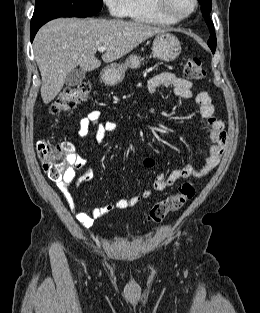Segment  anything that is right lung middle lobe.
<instances>
[{
    "mask_svg": "<svg viewBox=\"0 0 260 313\" xmlns=\"http://www.w3.org/2000/svg\"><path fill=\"white\" fill-rule=\"evenodd\" d=\"M102 0H36L34 17H89L102 8Z\"/></svg>",
    "mask_w": 260,
    "mask_h": 313,
    "instance_id": "1",
    "label": "right lung middle lobe"
}]
</instances>
